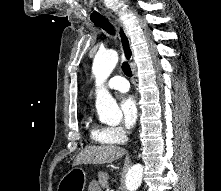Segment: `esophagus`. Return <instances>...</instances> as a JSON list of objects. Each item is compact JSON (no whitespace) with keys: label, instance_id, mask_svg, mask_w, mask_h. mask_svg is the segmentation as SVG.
Here are the masks:
<instances>
[{"label":"esophagus","instance_id":"34e87169","mask_svg":"<svg viewBox=\"0 0 221 191\" xmlns=\"http://www.w3.org/2000/svg\"><path fill=\"white\" fill-rule=\"evenodd\" d=\"M108 19L117 31L124 54L131 61L133 58V51L130 45V39L125 29V26L123 25L122 21L119 18L113 15L109 16ZM133 73L135 74L134 69H133Z\"/></svg>","mask_w":221,"mask_h":191}]
</instances>
